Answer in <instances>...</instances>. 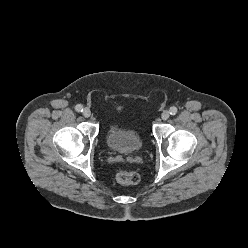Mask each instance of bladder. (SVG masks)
<instances>
[{"label": "bladder", "instance_id": "31cf9c89", "mask_svg": "<svg viewBox=\"0 0 248 248\" xmlns=\"http://www.w3.org/2000/svg\"><path fill=\"white\" fill-rule=\"evenodd\" d=\"M105 141L111 150L122 154H133L143 147V139L134 129L115 120L107 125Z\"/></svg>", "mask_w": 248, "mask_h": 248}]
</instances>
